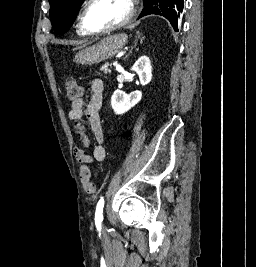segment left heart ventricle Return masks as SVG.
Here are the masks:
<instances>
[{"label": "left heart ventricle", "instance_id": "1", "mask_svg": "<svg viewBox=\"0 0 256 267\" xmlns=\"http://www.w3.org/2000/svg\"><path fill=\"white\" fill-rule=\"evenodd\" d=\"M127 16V8L115 0H97L85 10L86 24L95 30L106 29Z\"/></svg>", "mask_w": 256, "mask_h": 267}]
</instances>
